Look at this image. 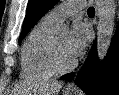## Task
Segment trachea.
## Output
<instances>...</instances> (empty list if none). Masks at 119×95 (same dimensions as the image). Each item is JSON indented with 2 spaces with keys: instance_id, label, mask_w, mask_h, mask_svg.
<instances>
[{
  "instance_id": "3493384b",
  "label": "trachea",
  "mask_w": 119,
  "mask_h": 95,
  "mask_svg": "<svg viewBox=\"0 0 119 95\" xmlns=\"http://www.w3.org/2000/svg\"><path fill=\"white\" fill-rule=\"evenodd\" d=\"M87 13H88V15H90V16H94V14H95V9H94L93 7H90V8L88 9Z\"/></svg>"
}]
</instances>
